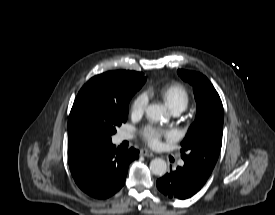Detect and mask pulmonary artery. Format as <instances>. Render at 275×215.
I'll list each match as a JSON object with an SVG mask.
<instances>
[{
    "mask_svg": "<svg viewBox=\"0 0 275 215\" xmlns=\"http://www.w3.org/2000/svg\"><path fill=\"white\" fill-rule=\"evenodd\" d=\"M180 112L181 111H172L173 115H178ZM129 138H131V135H129L128 133H122V134H120V139L121 140H126V139H129ZM178 164L180 166H183L184 162L182 160H180L178 162Z\"/></svg>",
    "mask_w": 275,
    "mask_h": 215,
    "instance_id": "obj_1",
    "label": "pulmonary artery"
}]
</instances>
